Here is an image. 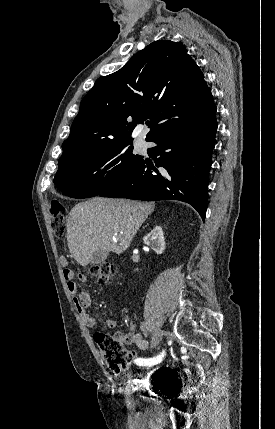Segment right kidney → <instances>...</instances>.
<instances>
[{
	"label": "right kidney",
	"instance_id": "ca27d5eb",
	"mask_svg": "<svg viewBox=\"0 0 275 429\" xmlns=\"http://www.w3.org/2000/svg\"><path fill=\"white\" fill-rule=\"evenodd\" d=\"M143 241L146 245L150 246L158 255L162 254L165 250V239L163 230L160 226H156L144 238Z\"/></svg>",
	"mask_w": 275,
	"mask_h": 429
}]
</instances>
